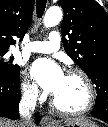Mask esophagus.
Returning <instances> with one entry per match:
<instances>
[{
	"label": "esophagus",
	"instance_id": "obj_1",
	"mask_svg": "<svg viewBox=\"0 0 108 127\" xmlns=\"http://www.w3.org/2000/svg\"><path fill=\"white\" fill-rule=\"evenodd\" d=\"M42 127H55L56 122L55 120L50 116H44L41 119Z\"/></svg>",
	"mask_w": 108,
	"mask_h": 127
}]
</instances>
